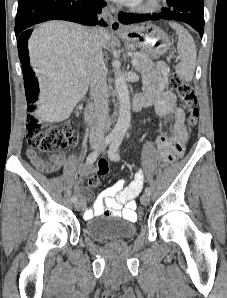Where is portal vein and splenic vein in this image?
Here are the masks:
<instances>
[{
    "label": "portal vein and splenic vein",
    "instance_id": "1",
    "mask_svg": "<svg viewBox=\"0 0 227 298\" xmlns=\"http://www.w3.org/2000/svg\"><path fill=\"white\" fill-rule=\"evenodd\" d=\"M138 64V61L135 58H132V65L136 66Z\"/></svg>",
    "mask_w": 227,
    "mask_h": 298
}]
</instances>
